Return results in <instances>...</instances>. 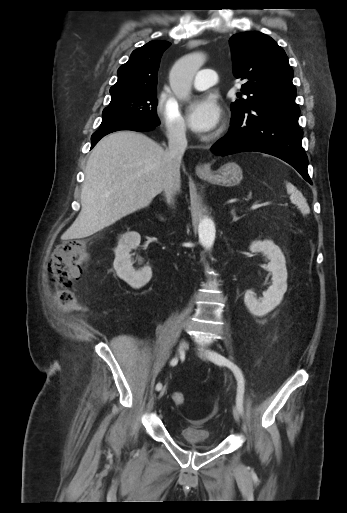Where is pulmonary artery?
Listing matches in <instances>:
<instances>
[{
	"mask_svg": "<svg viewBox=\"0 0 347 513\" xmlns=\"http://www.w3.org/2000/svg\"><path fill=\"white\" fill-rule=\"evenodd\" d=\"M218 82V74L212 69H201L196 74L193 86L196 90H205Z\"/></svg>",
	"mask_w": 347,
	"mask_h": 513,
	"instance_id": "1",
	"label": "pulmonary artery"
}]
</instances>
